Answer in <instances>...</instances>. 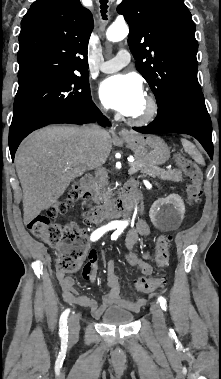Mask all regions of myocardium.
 <instances>
[{"instance_id": "myocardium-1", "label": "myocardium", "mask_w": 221, "mask_h": 379, "mask_svg": "<svg viewBox=\"0 0 221 379\" xmlns=\"http://www.w3.org/2000/svg\"><path fill=\"white\" fill-rule=\"evenodd\" d=\"M145 110L141 115L133 116L130 118V122L135 125H146L152 122L158 113V103L156 99L151 96L147 95L145 97Z\"/></svg>"}]
</instances>
